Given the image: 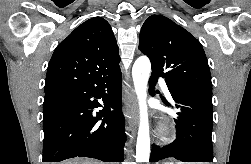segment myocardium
Masks as SVG:
<instances>
[{
	"mask_svg": "<svg viewBox=\"0 0 251 164\" xmlns=\"http://www.w3.org/2000/svg\"><path fill=\"white\" fill-rule=\"evenodd\" d=\"M171 127L167 123H162L159 128V136L162 139H168L171 136Z\"/></svg>",
	"mask_w": 251,
	"mask_h": 164,
	"instance_id": "f54148a6",
	"label": "myocardium"
}]
</instances>
